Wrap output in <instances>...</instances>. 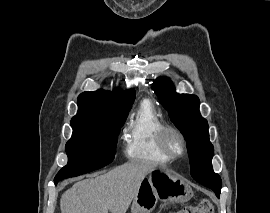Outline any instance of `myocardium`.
I'll use <instances>...</instances> for the list:
<instances>
[{"label":"myocardium","mask_w":270,"mask_h":213,"mask_svg":"<svg viewBox=\"0 0 270 213\" xmlns=\"http://www.w3.org/2000/svg\"><path fill=\"white\" fill-rule=\"evenodd\" d=\"M170 136H175L180 142V150L173 151L169 145ZM158 146L162 153L169 159H177L185 155L187 151V142L184 134L175 126L164 125L158 133Z\"/></svg>","instance_id":"f54148a6"}]
</instances>
